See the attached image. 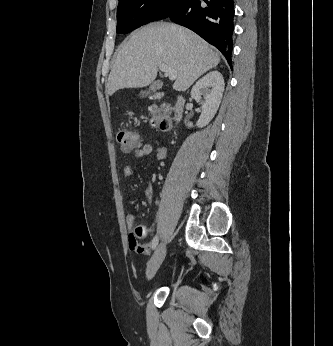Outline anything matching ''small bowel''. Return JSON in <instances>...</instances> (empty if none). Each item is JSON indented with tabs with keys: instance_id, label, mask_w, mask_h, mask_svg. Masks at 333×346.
<instances>
[{
	"instance_id": "obj_1",
	"label": "small bowel",
	"mask_w": 333,
	"mask_h": 346,
	"mask_svg": "<svg viewBox=\"0 0 333 346\" xmlns=\"http://www.w3.org/2000/svg\"><path fill=\"white\" fill-rule=\"evenodd\" d=\"M152 153H155V157L158 161L164 160L167 156L166 148L160 144H144L142 147L134 151V156L136 158H143ZM123 173L125 177H131L134 173V169L131 165H128L124 168ZM152 179L155 180V177H153ZM152 195L153 190L151 187H149L146 192V198L148 201L152 199ZM134 221L135 218L133 215L127 216L126 223L130 230L128 232L129 240L127 241V246L130 247V250H132L133 254H150L152 244L142 243V239H140V236L137 235V232L135 231L137 227L134 226Z\"/></svg>"
}]
</instances>
